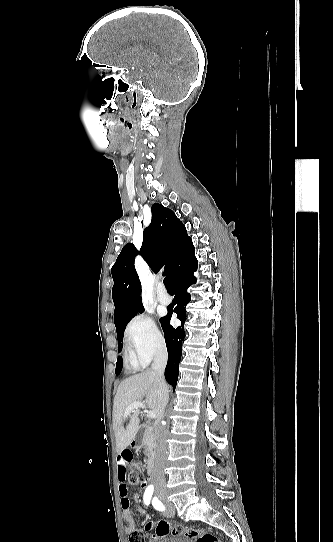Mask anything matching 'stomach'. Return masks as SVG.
I'll use <instances>...</instances> for the list:
<instances>
[{
	"label": "stomach",
	"mask_w": 333,
	"mask_h": 542,
	"mask_svg": "<svg viewBox=\"0 0 333 542\" xmlns=\"http://www.w3.org/2000/svg\"><path fill=\"white\" fill-rule=\"evenodd\" d=\"M143 440H144V436L143 434H140V438H135V440H132L130 446L138 450V448H142Z\"/></svg>",
	"instance_id": "obj_1"
}]
</instances>
